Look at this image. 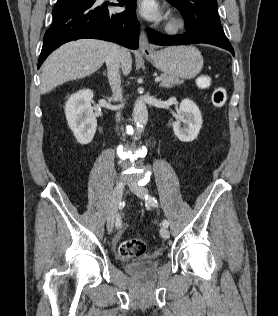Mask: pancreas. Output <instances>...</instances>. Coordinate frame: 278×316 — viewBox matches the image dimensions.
<instances>
[{
	"label": "pancreas",
	"mask_w": 278,
	"mask_h": 316,
	"mask_svg": "<svg viewBox=\"0 0 278 316\" xmlns=\"http://www.w3.org/2000/svg\"><path fill=\"white\" fill-rule=\"evenodd\" d=\"M161 78L162 79H161L160 86L165 87V88H171L174 85H179L183 83V80H181L180 78L176 76L162 75Z\"/></svg>",
	"instance_id": "cf45deb5"
}]
</instances>
